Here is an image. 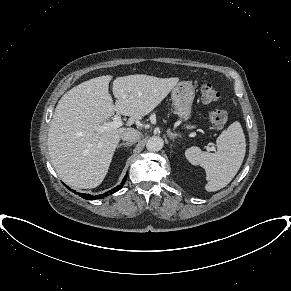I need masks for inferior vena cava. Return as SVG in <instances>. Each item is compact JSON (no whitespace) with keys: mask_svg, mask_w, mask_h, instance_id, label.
Wrapping results in <instances>:
<instances>
[{"mask_svg":"<svg viewBox=\"0 0 291 291\" xmlns=\"http://www.w3.org/2000/svg\"><path fill=\"white\" fill-rule=\"evenodd\" d=\"M141 137V132L134 128H129L121 134V139L129 143L138 141Z\"/></svg>","mask_w":291,"mask_h":291,"instance_id":"inferior-vena-cava-1","label":"inferior vena cava"}]
</instances>
